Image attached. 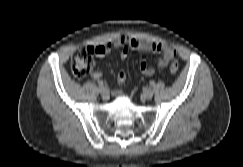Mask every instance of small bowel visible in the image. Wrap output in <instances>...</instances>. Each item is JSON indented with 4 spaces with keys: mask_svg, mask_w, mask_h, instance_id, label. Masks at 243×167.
<instances>
[{
    "mask_svg": "<svg viewBox=\"0 0 243 167\" xmlns=\"http://www.w3.org/2000/svg\"><path fill=\"white\" fill-rule=\"evenodd\" d=\"M120 48V59L122 61L126 60L128 57V50L134 49L139 51H153L159 53L161 56L157 62L159 68L164 69L168 64L175 59L177 52L176 50L167 43L164 42H147L142 41L134 37L123 36L119 38L113 45L105 44L93 47L94 53L98 57H104L105 55L112 52L114 49ZM141 74L144 76H152L154 74V68L148 65L146 62H141L139 66ZM102 73L99 71H94L91 73V78L94 80H100L102 78ZM126 73L121 70L117 74V82L119 84H124L126 81Z\"/></svg>",
    "mask_w": 243,
    "mask_h": 167,
    "instance_id": "obj_1",
    "label": "small bowel"
}]
</instances>
